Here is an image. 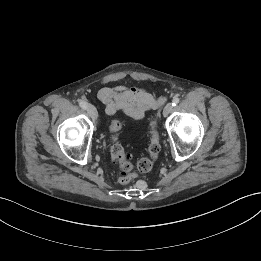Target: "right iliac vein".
<instances>
[{
	"instance_id": "63e3f726",
	"label": "right iliac vein",
	"mask_w": 261,
	"mask_h": 261,
	"mask_svg": "<svg viewBox=\"0 0 261 261\" xmlns=\"http://www.w3.org/2000/svg\"><path fill=\"white\" fill-rule=\"evenodd\" d=\"M86 110H87L89 116H90L93 120H96V119H97L98 113H97L96 108H95L92 104H87V105H86Z\"/></svg>"
}]
</instances>
